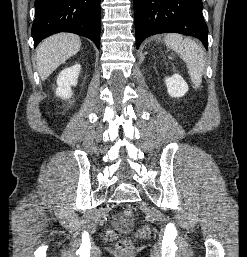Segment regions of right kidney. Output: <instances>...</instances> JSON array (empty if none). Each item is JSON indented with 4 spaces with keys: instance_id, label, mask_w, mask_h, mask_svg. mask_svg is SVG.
Returning a JSON list of instances; mask_svg holds the SVG:
<instances>
[{
    "instance_id": "right-kidney-1",
    "label": "right kidney",
    "mask_w": 247,
    "mask_h": 257,
    "mask_svg": "<svg viewBox=\"0 0 247 257\" xmlns=\"http://www.w3.org/2000/svg\"><path fill=\"white\" fill-rule=\"evenodd\" d=\"M81 70L80 64L63 69L57 77L56 95L62 99H69L72 95L71 86L77 85V79Z\"/></svg>"
}]
</instances>
